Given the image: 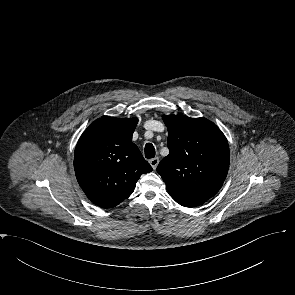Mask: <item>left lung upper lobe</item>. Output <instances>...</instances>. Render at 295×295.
I'll return each mask as SVG.
<instances>
[{"instance_id":"5c2ea615","label":"left lung upper lobe","mask_w":295,"mask_h":295,"mask_svg":"<svg viewBox=\"0 0 295 295\" xmlns=\"http://www.w3.org/2000/svg\"><path fill=\"white\" fill-rule=\"evenodd\" d=\"M170 150L157 167L169 195L180 205L196 207L221 188L229 169V147L221 130L205 118L163 116Z\"/></svg>"}]
</instances>
